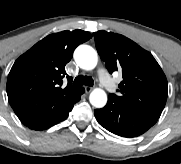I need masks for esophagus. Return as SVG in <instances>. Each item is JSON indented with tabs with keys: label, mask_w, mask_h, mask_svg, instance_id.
Returning a JSON list of instances; mask_svg holds the SVG:
<instances>
[{
	"label": "esophagus",
	"mask_w": 181,
	"mask_h": 164,
	"mask_svg": "<svg viewBox=\"0 0 181 164\" xmlns=\"http://www.w3.org/2000/svg\"><path fill=\"white\" fill-rule=\"evenodd\" d=\"M92 91V87L90 86H85V92L90 93Z\"/></svg>",
	"instance_id": "obj_1"
}]
</instances>
